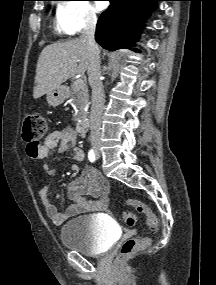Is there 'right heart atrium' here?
Masks as SVG:
<instances>
[{
  "instance_id": "1",
  "label": "right heart atrium",
  "mask_w": 216,
  "mask_h": 285,
  "mask_svg": "<svg viewBox=\"0 0 216 285\" xmlns=\"http://www.w3.org/2000/svg\"><path fill=\"white\" fill-rule=\"evenodd\" d=\"M97 20L96 11L88 0H65L58 5V24L68 35H75L95 26Z\"/></svg>"
}]
</instances>
